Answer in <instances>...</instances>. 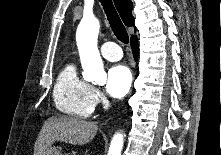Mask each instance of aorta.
<instances>
[{
	"mask_svg": "<svg viewBox=\"0 0 221 155\" xmlns=\"http://www.w3.org/2000/svg\"><path fill=\"white\" fill-rule=\"evenodd\" d=\"M99 28L100 24L96 18H83L76 32L83 78L86 81L96 83L105 82L107 77L97 47ZM122 148L123 134L117 132L111 140L108 155H121Z\"/></svg>",
	"mask_w": 221,
	"mask_h": 155,
	"instance_id": "1",
	"label": "aorta"
}]
</instances>
